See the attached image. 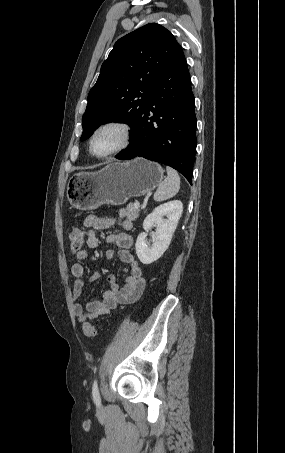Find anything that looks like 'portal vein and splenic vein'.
I'll use <instances>...</instances> for the list:
<instances>
[{"label":"portal vein and splenic vein","mask_w":285,"mask_h":453,"mask_svg":"<svg viewBox=\"0 0 285 453\" xmlns=\"http://www.w3.org/2000/svg\"><path fill=\"white\" fill-rule=\"evenodd\" d=\"M140 206V203L139 202H135L134 203V207L138 208Z\"/></svg>","instance_id":"1"}]
</instances>
